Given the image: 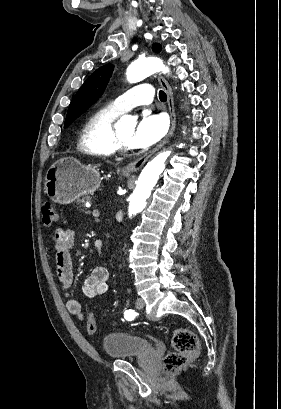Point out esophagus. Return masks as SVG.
<instances>
[{
	"label": "esophagus",
	"instance_id": "1",
	"mask_svg": "<svg viewBox=\"0 0 281 409\" xmlns=\"http://www.w3.org/2000/svg\"><path fill=\"white\" fill-rule=\"evenodd\" d=\"M159 83L161 84V86L163 87V89L165 90L166 94H167V102H168V108H169V114H170V129L166 135V137L152 150H149V152H147L145 155H143L142 157H140L137 160H134L133 162H130L129 164H127L125 167H123L122 171L124 173H133L136 172L137 170H140L141 167H143V165L145 164V162H147V160L151 157V155H153L157 150H159L161 147H163V145L166 144V142H168V140L172 137L175 127H176V113H175V107H174V97H173V92L172 89L169 85V83L167 82V80L162 77L159 76L158 77Z\"/></svg>",
	"mask_w": 281,
	"mask_h": 409
}]
</instances>
